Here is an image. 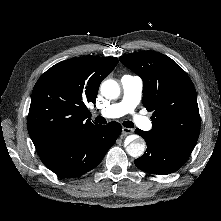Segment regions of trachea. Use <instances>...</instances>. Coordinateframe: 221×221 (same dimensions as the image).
I'll use <instances>...</instances> for the list:
<instances>
[{
    "label": "trachea",
    "instance_id": "trachea-1",
    "mask_svg": "<svg viewBox=\"0 0 221 221\" xmlns=\"http://www.w3.org/2000/svg\"><path fill=\"white\" fill-rule=\"evenodd\" d=\"M95 122L100 123V124H106V119L104 117L98 116L95 118ZM123 125L127 128L134 127V124L131 121H125V122H123Z\"/></svg>",
    "mask_w": 221,
    "mask_h": 221
}]
</instances>
